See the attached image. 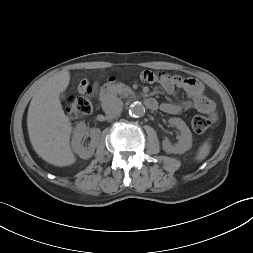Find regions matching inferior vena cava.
I'll use <instances>...</instances> for the list:
<instances>
[{"instance_id":"602c4592","label":"inferior vena cava","mask_w":253,"mask_h":253,"mask_svg":"<svg viewBox=\"0 0 253 253\" xmlns=\"http://www.w3.org/2000/svg\"><path fill=\"white\" fill-rule=\"evenodd\" d=\"M102 107L106 114L110 116H118L123 109V102L119 98L114 97L103 103Z\"/></svg>"}]
</instances>
